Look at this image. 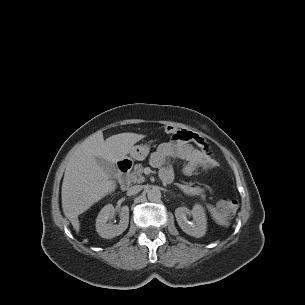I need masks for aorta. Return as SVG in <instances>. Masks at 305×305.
Listing matches in <instances>:
<instances>
[{
    "label": "aorta",
    "instance_id": "aorta-1",
    "mask_svg": "<svg viewBox=\"0 0 305 305\" xmlns=\"http://www.w3.org/2000/svg\"><path fill=\"white\" fill-rule=\"evenodd\" d=\"M147 197L150 201H158L161 199V191L157 187L148 190Z\"/></svg>",
    "mask_w": 305,
    "mask_h": 305
}]
</instances>
